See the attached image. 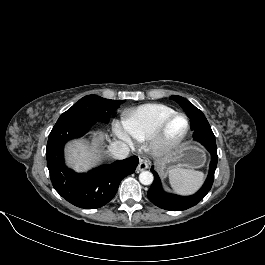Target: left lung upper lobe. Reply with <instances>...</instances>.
Here are the masks:
<instances>
[{"label": "left lung upper lobe", "mask_w": 265, "mask_h": 265, "mask_svg": "<svg viewBox=\"0 0 265 265\" xmlns=\"http://www.w3.org/2000/svg\"><path fill=\"white\" fill-rule=\"evenodd\" d=\"M170 99L177 102L186 112L187 116L190 118L191 129H194L200 125H209L202 111L196 108L187 99L176 95L171 96Z\"/></svg>", "instance_id": "5c2ea615"}]
</instances>
